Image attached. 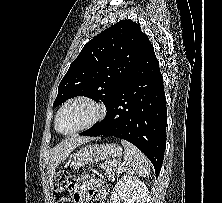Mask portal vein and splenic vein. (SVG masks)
Returning <instances> with one entry per match:
<instances>
[{"instance_id":"obj_1","label":"portal vein and splenic vein","mask_w":222,"mask_h":203,"mask_svg":"<svg viewBox=\"0 0 222 203\" xmlns=\"http://www.w3.org/2000/svg\"><path fill=\"white\" fill-rule=\"evenodd\" d=\"M121 170H122L121 166H120V165H118V171H121Z\"/></svg>"}]
</instances>
